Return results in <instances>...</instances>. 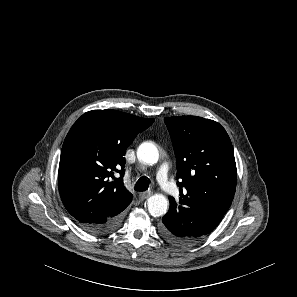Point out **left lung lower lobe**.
<instances>
[{"label":"left lung lower lobe","instance_id":"0a47b994","mask_svg":"<svg viewBox=\"0 0 297 297\" xmlns=\"http://www.w3.org/2000/svg\"><path fill=\"white\" fill-rule=\"evenodd\" d=\"M175 204L170 202V209L163 217V225L161 227V233L163 237L169 242L177 245H187L194 241L185 236L181 227V220L179 214L176 212Z\"/></svg>","mask_w":297,"mask_h":297}]
</instances>
